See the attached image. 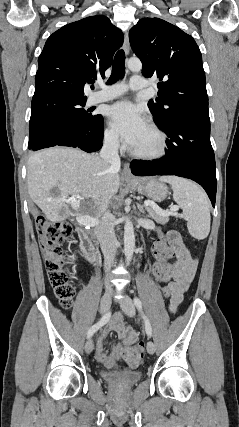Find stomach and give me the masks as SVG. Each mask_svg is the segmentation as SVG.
I'll return each mask as SVG.
<instances>
[{"label":"stomach","instance_id":"obj_1","mask_svg":"<svg viewBox=\"0 0 239 427\" xmlns=\"http://www.w3.org/2000/svg\"><path fill=\"white\" fill-rule=\"evenodd\" d=\"M128 186L157 202L163 201L168 195V187L154 178H140L129 182Z\"/></svg>","mask_w":239,"mask_h":427}]
</instances>
